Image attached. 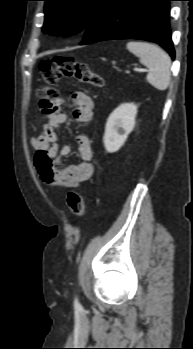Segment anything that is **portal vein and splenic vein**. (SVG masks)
<instances>
[{
    "instance_id": "18ae733b",
    "label": "portal vein and splenic vein",
    "mask_w": 193,
    "mask_h": 349,
    "mask_svg": "<svg viewBox=\"0 0 193 349\" xmlns=\"http://www.w3.org/2000/svg\"><path fill=\"white\" fill-rule=\"evenodd\" d=\"M134 71H136V72H140V71L146 72L147 70L135 67Z\"/></svg>"
}]
</instances>
